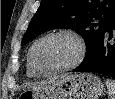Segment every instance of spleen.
I'll return each instance as SVG.
<instances>
[{
  "label": "spleen",
  "instance_id": "spleen-1",
  "mask_svg": "<svg viewBox=\"0 0 115 99\" xmlns=\"http://www.w3.org/2000/svg\"><path fill=\"white\" fill-rule=\"evenodd\" d=\"M105 83L110 99H115V80L107 79Z\"/></svg>",
  "mask_w": 115,
  "mask_h": 99
}]
</instances>
